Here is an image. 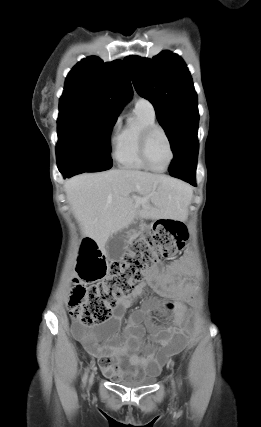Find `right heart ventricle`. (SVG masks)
<instances>
[{
  "mask_svg": "<svg viewBox=\"0 0 261 427\" xmlns=\"http://www.w3.org/2000/svg\"><path fill=\"white\" fill-rule=\"evenodd\" d=\"M136 122L125 125L118 134L114 158L118 165L128 170H147L139 155V138L143 129L156 125L155 115L135 108Z\"/></svg>",
  "mask_w": 261,
  "mask_h": 427,
  "instance_id": "1",
  "label": "right heart ventricle"
}]
</instances>
